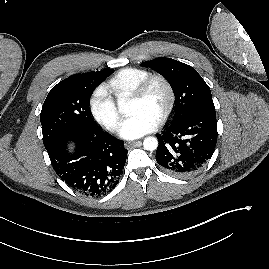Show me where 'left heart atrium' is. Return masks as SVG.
<instances>
[{"instance_id": "obj_1", "label": "left heart atrium", "mask_w": 269, "mask_h": 269, "mask_svg": "<svg viewBox=\"0 0 269 269\" xmlns=\"http://www.w3.org/2000/svg\"><path fill=\"white\" fill-rule=\"evenodd\" d=\"M157 124V121L151 116L143 112H137L122 122L119 134L124 139H136L152 132Z\"/></svg>"}]
</instances>
